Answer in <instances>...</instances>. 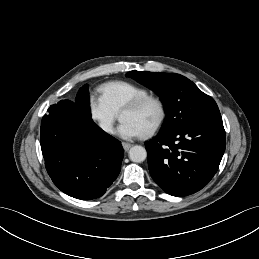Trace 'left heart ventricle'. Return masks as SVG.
Segmentation results:
<instances>
[{"mask_svg":"<svg viewBox=\"0 0 259 259\" xmlns=\"http://www.w3.org/2000/svg\"><path fill=\"white\" fill-rule=\"evenodd\" d=\"M159 110L156 104L149 102L144 104L138 110L125 112L121 115L122 121H128L134 124L141 133L147 131L157 121Z\"/></svg>","mask_w":259,"mask_h":259,"instance_id":"b2bd125f","label":"left heart ventricle"}]
</instances>
